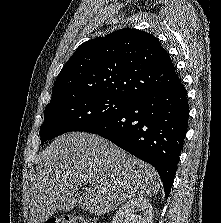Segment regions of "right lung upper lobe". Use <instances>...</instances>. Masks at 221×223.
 <instances>
[{"mask_svg": "<svg viewBox=\"0 0 221 223\" xmlns=\"http://www.w3.org/2000/svg\"><path fill=\"white\" fill-rule=\"evenodd\" d=\"M180 82L158 39L141 30L120 29L77 48L56 79L50 103L81 95L134 101Z\"/></svg>", "mask_w": 221, "mask_h": 223, "instance_id": "obj_1", "label": "right lung upper lobe"}]
</instances>
